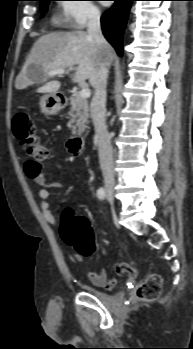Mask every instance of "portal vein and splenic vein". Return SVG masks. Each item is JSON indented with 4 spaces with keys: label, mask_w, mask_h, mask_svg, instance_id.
Listing matches in <instances>:
<instances>
[{
    "label": "portal vein and splenic vein",
    "mask_w": 193,
    "mask_h": 349,
    "mask_svg": "<svg viewBox=\"0 0 193 349\" xmlns=\"http://www.w3.org/2000/svg\"><path fill=\"white\" fill-rule=\"evenodd\" d=\"M66 71L64 69H57V70H54V71H51L49 73V76L50 77H53V76H56V75H63L65 74ZM80 96L83 97V98H88L90 97V90L86 87H83L80 91Z\"/></svg>",
    "instance_id": "18ae733b"
}]
</instances>
